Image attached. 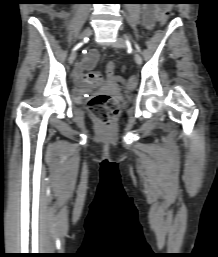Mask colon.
I'll use <instances>...</instances> for the list:
<instances>
[{"label":"colon","mask_w":218,"mask_h":257,"mask_svg":"<svg viewBox=\"0 0 218 257\" xmlns=\"http://www.w3.org/2000/svg\"><path fill=\"white\" fill-rule=\"evenodd\" d=\"M174 6L173 2H162V5H158L157 16H160L158 29H164L168 22L169 16L172 15ZM158 34L161 32L158 31ZM83 74L85 78L83 80L84 84H88L89 87H94V90H104V84L114 83V75L117 74L116 67L113 63H109L107 67L104 68L103 74H95L94 70H84ZM104 79V80H103ZM137 83L136 76L130 77L128 81V86L134 87ZM89 109L92 114L97 117L103 124L109 125L112 118H114L119 111V101L116 97L99 93L94 95L89 101Z\"/></svg>","instance_id":"1"}]
</instances>
